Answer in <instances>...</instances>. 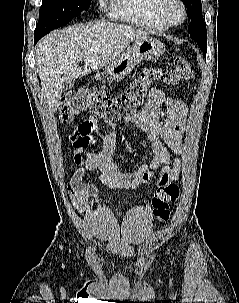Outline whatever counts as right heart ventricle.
I'll list each match as a JSON object with an SVG mask.
<instances>
[{
  "instance_id": "1",
  "label": "right heart ventricle",
  "mask_w": 239,
  "mask_h": 303,
  "mask_svg": "<svg viewBox=\"0 0 239 303\" xmlns=\"http://www.w3.org/2000/svg\"><path fill=\"white\" fill-rule=\"evenodd\" d=\"M158 0H112L110 13L114 18L151 31H163L168 26L156 15Z\"/></svg>"
}]
</instances>
